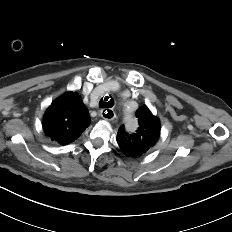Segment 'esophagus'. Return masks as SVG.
<instances>
[{
    "mask_svg": "<svg viewBox=\"0 0 232 232\" xmlns=\"http://www.w3.org/2000/svg\"><path fill=\"white\" fill-rule=\"evenodd\" d=\"M100 115L105 120H113L116 117L114 110L110 108L102 109Z\"/></svg>",
    "mask_w": 232,
    "mask_h": 232,
    "instance_id": "obj_1",
    "label": "esophagus"
}]
</instances>
